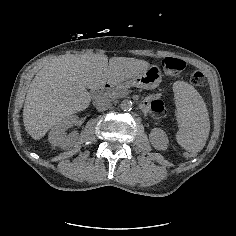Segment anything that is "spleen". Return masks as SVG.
<instances>
[{
  "instance_id": "spleen-1",
  "label": "spleen",
  "mask_w": 236,
  "mask_h": 236,
  "mask_svg": "<svg viewBox=\"0 0 236 236\" xmlns=\"http://www.w3.org/2000/svg\"><path fill=\"white\" fill-rule=\"evenodd\" d=\"M176 114L181 120L176 134L177 143L189 152L201 151L210 132L209 113L199 92L190 84L176 82Z\"/></svg>"
}]
</instances>
